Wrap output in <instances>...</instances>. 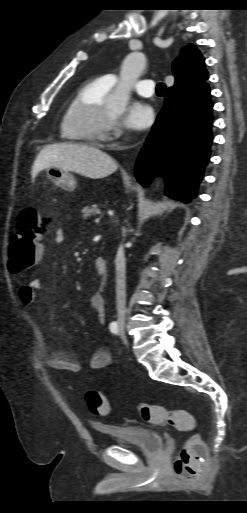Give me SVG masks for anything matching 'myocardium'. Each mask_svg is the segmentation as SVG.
I'll return each mask as SVG.
<instances>
[{"instance_id":"obj_1","label":"myocardium","mask_w":247,"mask_h":513,"mask_svg":"<svg viewBox=\"0 0 247 513\" xmlns=\"http://www.w3.org/2000/svg\"><path fill=\"white\" fill-rule=\"evenodd\" d=\"M113 123V117L107 112V105L93 108L86 112L77 127L95 140L105 138Z\"/></svg>"}]
</instances>
